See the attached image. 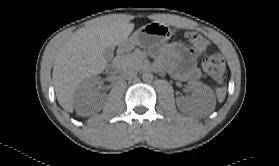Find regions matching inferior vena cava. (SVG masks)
<instances>
[{"label":"inferior vena cava","instance_id":"obj_1","mask_svg":"<svg viewBox=\"0 0 279 166\" xmlns=\"http://www.w3.org/2000/svg\"><path fill=\"white\" fill-rule=\"evenodd\" d=\"M136 75H137V72L133 69H128V70L122 72V76L126 79H132V78L136 77Z\"/></svg>","mask_w":279,"mask_h":166}]
</instances>
